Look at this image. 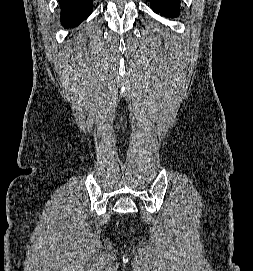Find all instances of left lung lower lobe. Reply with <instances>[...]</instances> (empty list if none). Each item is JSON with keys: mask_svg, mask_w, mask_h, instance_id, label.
Here are the masks:
<instances>
[{"mask_svg": "<svg viewBox=\"0 0 253 271\" xmlns=\"http://www.w3.org/2000/svg\"><path fill=\"white\" fill-rule=\"evenodd\" d=\"M179 3L180 0H150L154 12L172 18L179 14Z\"/></svg>", "mask_w": 253, "mask_h": 271, "instance_id": "left-lung-lower-lobe-1", "label": "left lung lower lobe"}]
</instances>
